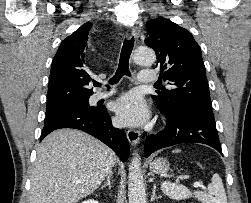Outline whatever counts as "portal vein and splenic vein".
I'll use <instances>...</instances> for the list:
<instances>
[{"instance_id":"18ae733b","label":"portal vein and splenic vein","mask_w":251,"mask_h":203,"mask_svg":"<svg viewBox=\"0 0 251 203\" xmlns=\"http://www.w3.org/2000/svg\"><path fill=\"white\" fill-rule=\"evenodd\" d=\"M201 185H200V183L199 182H194V184H193V187H195V188H198V187H200Z\"/></svg>"}]
</instances>
